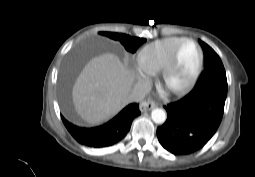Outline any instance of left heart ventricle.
Masks as SVG:
<instances>
[{"mask_svg": "<svg viewBox=\"0 0 255 177\" xmlns=\"http://www.w3.org/2000/svg\"><path fill=\"white\" fill-rule=\"evenodd\" d=\"M198 60V52L192 44L183 47L178 62L170 76L169 86L178 87L189 80Z\"/></svg>", "mask_w": 255, "mask_h": 177, "instance_id": "1", "label": "left heart ventricle"}]
</instances>
